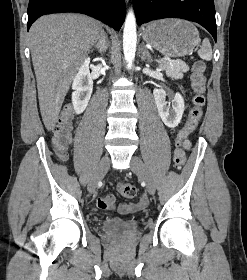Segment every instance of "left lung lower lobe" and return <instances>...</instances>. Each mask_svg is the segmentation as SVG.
Segmentation results:
<instances>
[{
    "mask_svg": "<svg viewBox=\"0 0 247 280\" xmlns=\"http://www.w3.org/2000/svg\"><path fill=\"white\" fill-rule=\"evenodd\" d=\"M137 24L162 19L182 18L206 28L216 41V20L213 0H133Z\"/></svg>",
    "mask_w": 247,
    "mask_h": 280,
    "instance_id": "left-lung-lower-lobe-1",
    "label": "left lung lower lobe"
}]
</instances>
